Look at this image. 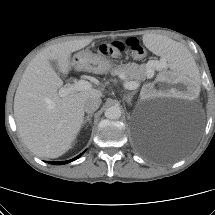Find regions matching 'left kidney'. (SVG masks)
Returning <instances> with one entry per match:
<instances>
[{"label":"left kidney","mask_w":215,"mask_h":215,"mask_svg":"<svg viewBox=\"0 0 215 215\" xmlns=\"http://www.w3.org/2000/svg\"><path fill=\"white\" fill-rule=\"evenodd\" d=\"M146 97L165 96L176 100H196L198 87L194 81H186L178 72L165 70L159 83H150L144 88Z\"/></svg>","instance_id":"1"}]
</instances>
